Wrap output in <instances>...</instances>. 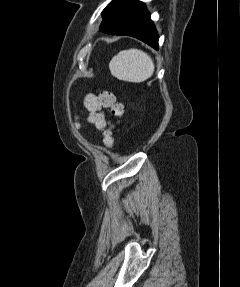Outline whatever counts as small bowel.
<instances>
[{
    "mask_svg": "<svg viewBox=\"0 0 240 287\" xmlns=\"http://www.w3.org/2000/svg\"><path fill=\"white\" fill-rule=\"evenodd\" d=\"M84 107L88 112V123L97 130L103 131L107 127V120L97 96L95 94H87L84 98Z\"/></svg>",
    "mask_w": 240,
    "mask_h": 287,
    "instance_id": "c3829d8e",
    "label": "small bowel"
}]
</instances>
